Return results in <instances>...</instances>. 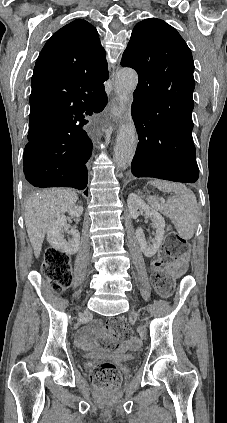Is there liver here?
Wrapping results in <instances>:
<instances>
[{"label": "liver", "instance_id": "1", "mask_svg": "<svg viewBox=\"0 0 227 423\" xmlns=\"http://www.w3.org/2000/svg\"><path fill=\"white\" fill-rule=\"evenodd\" d=\"M78 196L73 190H42L28 198L25 225L35 257H39L47 229L60 213L71 210Z\"/></svg>", "mask_w": 227, "mask_h": 423}]
</instances>
